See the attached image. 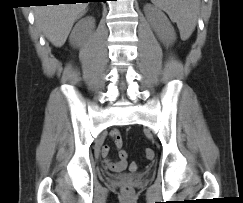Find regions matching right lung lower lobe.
<instances>
[{
  "mask_svg": "<svg viewBox=\"0 0 243 203\" xmlns=\"http://www.w3.org/2000/svg\"><path fill=\"white\" fill-rule=\"evenodd\" d=\"M46 1H52V0H40L39 2H38V4H35V5H46ZM54 1V0H53ZM59 1H61V2H49V3H55V4H57V3H68V4H70V3H76L77 1H86V3H88V1H92V2H106V0H59Z\"/></svg>",
  "mask_w": 243,
  "mask_h": 203,
  "instance_id": "right-lung-lower-lobe-1",
  "label": "right lung lower lobe"
}]
</instances>
